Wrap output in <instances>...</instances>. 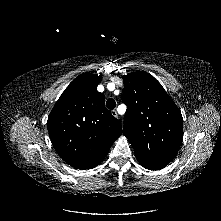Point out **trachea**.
Returning <instances> with one entry per match:
<instances>
[{"label": "trachea", "instance_id": "obj_1", "mask_svg": "<svg viewBox=\"0 0 221 221\" xmlns=\"http://www.w3.org/2000/svg\"><path fill=\"white\" fill-rule=\"evenodd\" d=\"M106 107L110 110H113L116 107V102L114 99H108L106 102Z\"/></svg>", "mask_w": 221, "mask_h": 221}]
</instances>
